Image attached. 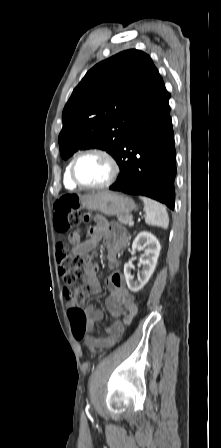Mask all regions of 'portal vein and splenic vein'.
Wrapping results in <instances>:
<instances>
[{
    "label": "portal vein and splenic vein",
    "instance_id": "obj_1",
    "mask_svg": "<svg viewBox=\"0 0 221 448\" xmlns=\"http://www.w3.org/2000/svg\"><path fill=\"white\" fill-rule=\"evenodd\" d=\"M128 225L130 226V227H132L133 225H134V221H130L129 223H128Z\"/></svg>",
    "mask_w": 221,
    "mask_h": 448
}]
</instances>
